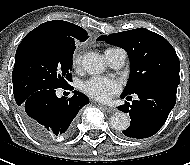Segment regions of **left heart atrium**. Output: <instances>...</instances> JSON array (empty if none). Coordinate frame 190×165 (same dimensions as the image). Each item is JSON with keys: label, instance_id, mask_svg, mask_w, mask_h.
<instances>
[{"label": "left heart atrium", "instance_id": "39dd6f15", "mask_svg": "<svg viewBox=\"0 0 190 165\" xmlns=\"http://www.w3.org/2000/svg\"><path fill=\"white\" fill-rule=\"evenodd\" d=\"M81 90L96 101L107 102L120 92L121 85L116 79L92 77L82 83Z\"/></svg>", "mask_w": 190, "mask_h": 165}]
</instances>
